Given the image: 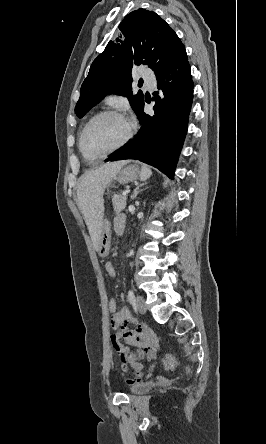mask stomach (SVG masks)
Here are the masks:
<instances>
[{"label":"stomach","mask_w":266,"mask_h":444,"mask_svg":"<svg viewBox=\"0 0 266 444\" xmlns=\"http://www.w3.org/2000/svg\"><path fill=\"white\" fill-rule=\"evenodd\" d=\"M144 174L142 169L139 168L137 164H127L120 169L117 173L115 180H117L121 184H126L129 182H133L139 178L143 179ZM111 240V229L110 224L107 221H104L101 227V237L99 243V253L102 255L107 254L108 246ZM103 243H105V251H103Z\"/></svg>","instance_id":"1"}]
</instances>
